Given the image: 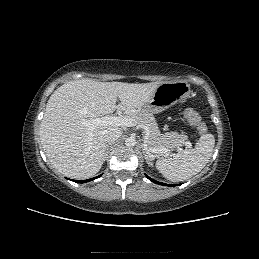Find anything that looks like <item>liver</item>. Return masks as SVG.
Returning a JSON list of instances; mask_svg holds the SVG:
<instances>
[{
  "label": "liver",
  "instance_id": "1",
  "mask_svg": "<svg viewBox=\"0 0 259 259\" xmlns=\"http://www.w3.org/2000/svg\"><path fill=\"white\" fill-rule=\"evenodd\" d=\"M160 82L70 81L50 96L40 125V139L50 163L65 176L84 179L94 176L105 161L106 131L118 126L103 125L90 131L83 120L113 113L140 110ZM117 99L120 103L116 105Z\"/></svg>",
  "mask_w": 259,
  "mask_h": 259
}]
</instances>
